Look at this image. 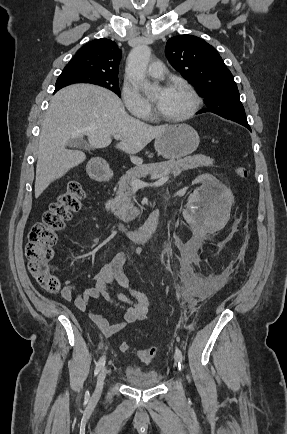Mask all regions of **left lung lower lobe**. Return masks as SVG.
<instances>
[{
    "label": "left lung lower lobe",
    "instance_id": "left-lung-lower-lobe-1",
    "mask_svg": "<svg viewBox=\"0 0 287 434\" xmlns=\"http://www.w3.org/2000/svg\"><path fill=\"white\" fill-rule=\"evenodd\" d=\"M204 112H206V111H204V110L199 111V113H204ZM218 115H220L226 119L235 121V122L245 126L247 129H249L251 131V128L247 122V118L245 116V113L243 114V113L226 112V113H219Z\"/></svg>",
    "mask_w": 287,
    "mask_h": 434
}]
</instances>
